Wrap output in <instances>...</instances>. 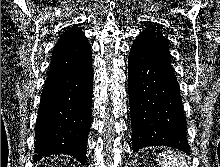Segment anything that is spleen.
<instances>
[{
    "label": "spleen",
    "instance_id": "obj_1",
    "mask_svg": "<svg viewBox=\"0 0 220 167\" xmlns=\"http://www.w3.org/2000/svg\"><path fill=\"white\" fill-rule=\"evenodd\" d=\"M157 157L162 167H188L183 156L171 150L159 154Z\"/></svg>",
    "mask_w": 220,
    "mask_h": 167
}]
</instances>
